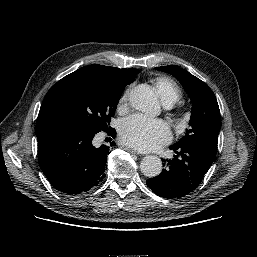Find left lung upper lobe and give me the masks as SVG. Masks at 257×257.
Here are the masks:
<instances>
[{"mask_svg": "<svg viewBox=\"0 0 257 257\" xmlns=\"http://www.w3.org/2000/svg\"><path fill=\"white\" fill-rule=\"evenodd\" d=\"M172 74L188 91L192 102V114L186 135L175 145L200 143L217 149L221 117L213 91L200 79L175 65L156 67Z\"/></svg>", "mask_w": 257, "mask_h": 257, "instance_id": "obj_1", "label": "left lung upper lobe"}]
</instances>
